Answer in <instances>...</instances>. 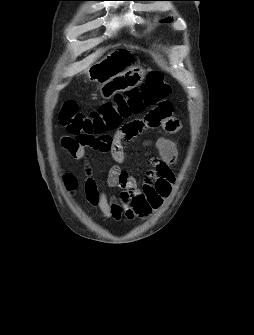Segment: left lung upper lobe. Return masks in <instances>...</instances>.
<instances>
[{"mask_svg":"<svg viewBox=\"0 0 254 335\" xmlns=\"http://www.w3.org/2000/svg\"><path fill=\"white\" fill-rule=\"evenodd\" d=\"M169 21H170V19L166 20V22H169Z\"/></svg>","mask_w":254,"mask_h":335,"instance_id":"left-lung-upper-lobe-1","label":"left lung upper lobe"}]
</instances>
